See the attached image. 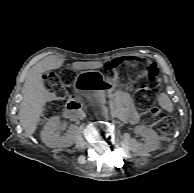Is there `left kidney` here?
I'll list each match as a JSON object with an SVG mask.
<instances>
[{"mask_svg": "<svg viewBox=\"0 0 194 193\" xmlns=\"http://www.w3.org/2000/svg\"><path fill=\"white\" fill-rule=\"evenodd\" d=\"M136 133L142 135L146 141L145 143H138L136 140H131L130 148L138 155H146L148 152L157 150L159 147V136L153 129L146 126H136Z\"/></svg>", "mask_w": 194, "mask_h": 193, "instance_id": "obj_1", "label": "left kidney"}]
</instances>
